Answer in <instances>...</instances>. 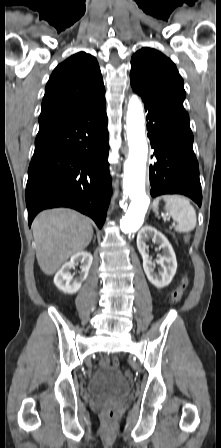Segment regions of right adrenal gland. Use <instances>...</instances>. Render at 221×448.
Listing matches in <instances>:
<instances>
[{
    "label": "right adrenal gland",
    "instance_id": "obj_1",
    "mask_svg": "<svg viewBox=\"0 0 221 448\" xmlns=\"http://www.w3.org/2000/svg\"><path fill=\"white\" fill-rule=\"evenodd\" d=\"M95 240H96V237L94 236V239H93V241L95 242Z\"/></svg>",
    "mask_w": 221,
    "mask_h": 448
}]
</instances>
